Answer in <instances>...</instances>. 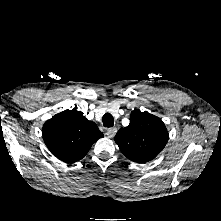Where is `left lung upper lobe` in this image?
Wrapping results in <instances>:
<instances>
[{"label":"left lung upper lobe","mask_w":221,"mask_h":221,"mask_svg":"<svg viewBox=\"0 0 221 221\" xmlns=\"http://www.w3.org/2000/svg\"><path fill=\"white\" fill-rule=\"evenodd\" d=\"M168 131L163 121L136 109L131 112L130 124L118 131L115 142L130 160L145 163L154 159L165 147Z\"/></svg>","instance_id":"1"}]
</instances>
